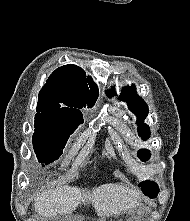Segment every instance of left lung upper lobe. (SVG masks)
<instances>
[{"mask_svg":"<svg viewBox=\"0 0 190 221\" xmlns=\"http://www.w3.org/2000/svg\"><path fill=\"white\" fill-rule=\"evenodd\" d=\"M107 94L108 96L113 97L115 95L114 89L107 91ZM119 98L120 100L127 101L128 108L137 115L139 136L142 137V139H148L150 137L149 127L146 124H142L143 120L148 114L147 104L143 101L141 97L137 95L134 86L124 89ZM138 157L142 161H146L150 157V151L146 149H141L138 151ZM139 186L142 187L143 193L150 198H155L159 192L158 185L153 181H143L139 184Z\"/></svg>","mask_w":190,"mask_h":221,"instance_id":"obj_1","label":"left lung upper lobe"}]
</instances>
